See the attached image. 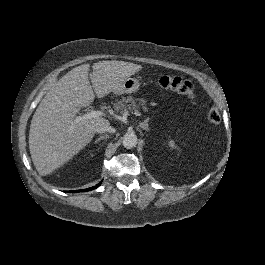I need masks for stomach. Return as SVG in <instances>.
Masks as SVG:
<instances>
[{
	"label": "stomach",
	"mask_w": 265,
	"mask_h": 265,
	"mask_svg": "<svg viewBox=\"0 0 265 265\" xmlns=\"http://www.w3.org/2000/svg\"><path fill=\"white\" fill-rule=\"evenodd\" d=\"M139 87L140 82L137 79L127 77L124 80L120 81L112 92L117 95L124 93H133L136 92Z\"/></svg>",
	"instance_id": "obj_1"
}]
</instances>
